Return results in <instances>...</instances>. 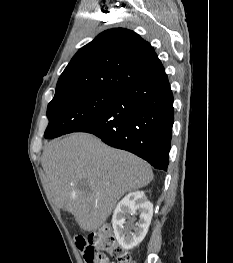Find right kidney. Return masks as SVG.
I'll list each match as a JSON object with an SVG mask.
<instances>
[{
  "mask_svg": "<svg viewBox=\"0 0 233 263\" xmlns=\"http://www.w3.org/2000/svg\"><path fill=\"white\" fill-rule=\"evenodd\" d=\"M139 213L138 222L132 216ZM153 216V204L143 191L131 192L116 206L112 225L115 237L122 248L133 249L145 238ZM126 219L127 222H126ZM124 224H126L124 226ZM133 230L134 232H132Z\"/></svg>",
  "mask_w": 233,
  "mask_h": 263,
  "instance_id": "obj_1",
  "label": "right kidney"
}]
</instances>
